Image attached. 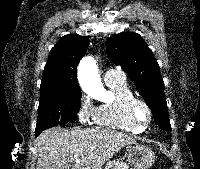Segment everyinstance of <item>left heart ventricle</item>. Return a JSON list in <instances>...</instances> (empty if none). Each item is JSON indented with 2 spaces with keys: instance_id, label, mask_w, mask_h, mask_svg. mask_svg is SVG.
I'll return each instance as SVG.
<instances>
[{
  "instance_id": "left-heart-ventricle-1",
  "label": "left heart ventricle",
  "mask_w": 200,
  "mask_h": 169,
  "mask_svg": "<svg viewBox=\"0 0 200 169\" xmlns=\"http://www.w3.org/2000/svg\"><path fill=\"white\" fill-rule=\"evenodd\" d=\"M138 113H139V116H140V118H141L142 120H145V119H146L147 113H146V111H145L144 108H139Z\"/></svg>"
}]
</instances>
